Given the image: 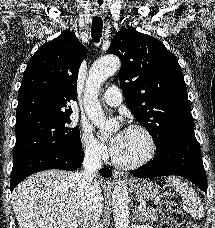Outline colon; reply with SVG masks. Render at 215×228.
I'll return each instance as SVG.
<instances>
[{
  "mask_svg": "<svg viewBox=\"0 0 215 228\" xmlns=\"http://www.w3.org/2000/svg\"><path fill=\"white\" fill-rule=\"evenodd\" d=\"M159 211L165 218L162 228H180L185 225V213L173 200L163 197L159 202ZM187 228H198V225L189 223Z\"/></svg>",
  "mask_w": 215,
  "mask_h": 228,
  "instance_id": "obj_1",
  "label": "colon"
}]
</instances>
